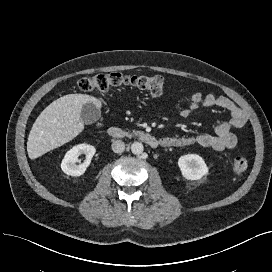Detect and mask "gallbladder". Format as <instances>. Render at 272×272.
<instances>
[{
	"label": "gallbladder",
	"instance_id": "gallbladder-1",
	"mask_svg": "<svg viewBox=\"0 0 272 272\" xmlns=\"http://www.w3.org/2000/svg\"><path fill=\"white\" fill-rule=\"evenodd\" d=\"M101 117L100 109L94 103H86L81 110V120L86 125L95 123Z\"/></svg>",
	"mask_w": 272,
	"mask_h": 272
}]
</instances>
